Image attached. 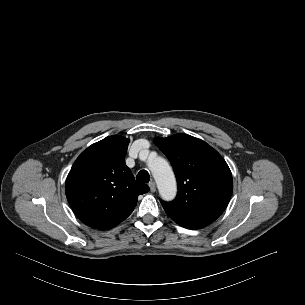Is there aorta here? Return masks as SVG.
<instances>
[{
	"label": "aorta",
	"mask_w": 305,
	"mask_h": 305,
	"mask_svg": "<svg viewBox=\"0 0 305 305\" xmlns=\"http://www.w3.org/2000/svg\"><path fill=\"white\" fill-rule=\"evenodd\" d=\"M149 169L157 183L159 193L164 200L175 198L177 192L176 179L168 162L156 157L149 162Z\"/></svg>",
	"instance_id": "obj_1"
}]
</instances>
